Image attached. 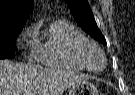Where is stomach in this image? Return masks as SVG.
Masks as SVG:
<instances>
[{"instance_id":"obj_1","label":"stomach","mask_w":135,"mask_h":95,"mask_svg":"<svg viewBox=\"0 0 135 95\" xmlns=\"http://www.w3.org/2000/svg\"><path fill=\"white\" fill-rule=\"evenodd\" d=\"M68 93V95H98V90L93 83L84 80L77 85L72 86Z\"/></svg>"}]
</instances>
